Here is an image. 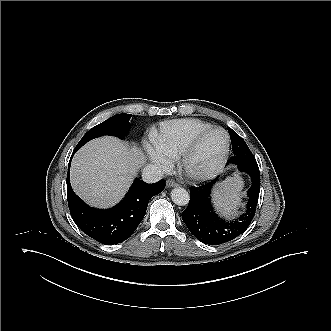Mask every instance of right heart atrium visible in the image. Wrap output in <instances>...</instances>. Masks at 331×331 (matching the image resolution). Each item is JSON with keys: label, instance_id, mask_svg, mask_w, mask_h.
<instances>
[{"label": "right heart atrium", "instance_id": "right-heart-atrium-1", "mask_svg": "<svg viewBox=\"0 0 331 331\" xmlns=\"http://www.w3.org/2000/svg\"><path fill=\"white\" fill-rule=\"evenodd\" d=\"M145 150L149 159L162 169L166 170L171 166L172 158L163 150L159 149L155 144L146 143Z\"/></svg>", "mask_w": 331, "mask_h": 331}]
</instances>
